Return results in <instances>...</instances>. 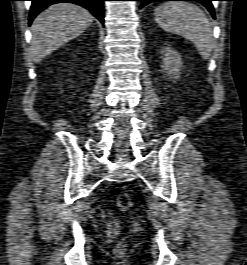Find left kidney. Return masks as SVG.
Instances as JSON below:
<instances>
[{"instance_id": "obj_1", "label": "left kidney", "mask_w": 247, "mask_h": 265, "mask_svg": "<svg viewBox=\"0 0 247 265\" xmlns=\"http://www.w3.org/2000/svg\"><path fill=\"white\" fill-rule=\"evenodd\" d=\"M162 60V68L165 73L169 75L170 78L178 79L183 65L180 54L169 46L163 47Z\"/></svg>"}]
</instances>
